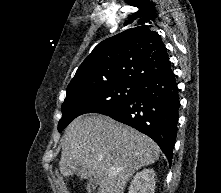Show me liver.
<instances>
[{
    "instance_id": "1",
    "label": "liver",
    "mask_w": 221,
    "mask_h": 193,
    "mask_svg": "<svg viewBox=\"0 0 221 193\" xmlns=\"http://www.w3.org/2000/svg\"><path fill=\"white\" fill-rule=\"evenodd\" d=\"M159 153L158 145L134 128L108 116L84 115L65 130L60 172L64 177L98 179L97 193H124L129 178L158 160Z\"/></svg>"
}]
</instances>
